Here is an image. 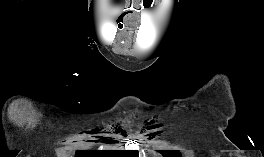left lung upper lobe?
<instances>
[{
    "label": "left lung upper lobe",
    "instance_id": "obj_1",
    "mask_svg": "<svg viewBox=\"0 0 264 157\" xmlns=\"http://www.w3.org/2000/svg\"><path fill=\"white\" fill-rule=\"evenodd\" d=\"M164 157H181L180 153L176 150H161Z\"/></svg>",
    "mask_w": 264,
    "mask_h": 157
}]
</instances>
